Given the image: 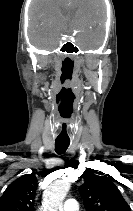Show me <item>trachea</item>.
I'll return each instance as SVG.
<instances>
[{
  "label": "trachea",
  "instance_id": "obj_1",
  "mask_svg": "<svg viewBox=\"0 0 133 211\" xmlns=\"http://www.w3.org/2000/svg\"><path fill=\"white\" fill-rule=\"evenodd\" d=\"M69 144H70L69 141L56 140L55 141V151H56V153L57 154L64 153L67 150Z\"/></svg>",
  "mask_w": 133,
  "mask_h": 211
}]
</instances>
